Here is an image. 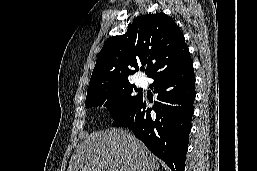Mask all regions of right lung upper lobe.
Returning a JSON list of instances; mask_svg holds the SVG:
<instances>
[{"label":"right lung upper lobe","mask_w":257,"mask_h":171,"mask_svg":"<svg viewBox=\"0 0 257 171\" xmlns=\"http://www.w3.org/2000/svg\"><path fill=\"white\" fill-rule=\"evenodd\" d=\"M183 33L164 13L138 17L124 35L109 38L98 54L88 92L128 83V76L147 65V76L177 68L190 59ZM135 68L131 70L130 68Z\"/></svg>","instance_id":"1"}]
</instances>
